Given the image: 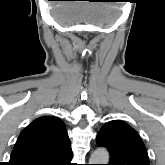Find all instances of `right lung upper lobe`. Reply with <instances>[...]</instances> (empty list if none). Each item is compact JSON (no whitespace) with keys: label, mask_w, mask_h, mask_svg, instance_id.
<instances>
[{"label":"right lung upper lobe","mask_w":165,"mask_h":165,"mask_svg":"<svg viewBox=\"0 0 165 165\" xmlns=\"http://www.w3.org/2000/svg\"><path fill=\"white\" fill-rule=\"evenodd\" d=\"M70 143L65 124L56 117L34 120L19 135L9 165H41Z\"/></svg>","instance_id":"cb5924a9"}]
</instances>
